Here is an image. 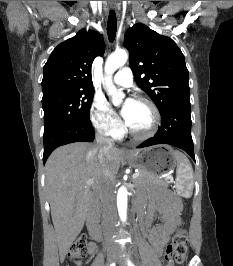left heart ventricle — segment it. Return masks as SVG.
I'll return each instance as SVG.
<instances>
[{
	"mask_svg": "<svg viewBox=\"0 0 233 266\" xmlns=\"http://www.w3.org/2000/svg\"><path fill=\"white\" fill-rule=\"evenodd\" d=\"M153 121V114L151 109L140 102L134 105L133 119L129 127L135 132L142 133L147 131Z\"/></svg>",
	"mask_w": 233,
	"mask_h": 266,
	"instance_id": "obj_1",
	"label": "left heart ventricle"
}]
</instances>
